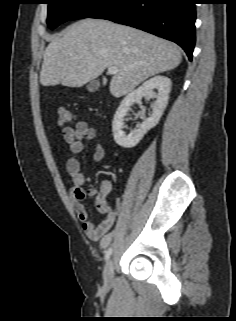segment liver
Here are the masks:
<instances>
[{
	"mask_svg": "<svg viewBox=\"0 0 236 321\" xmlns=\"http://www.w3.org/2000/svg\"><path fill=\"white\" fill-rule=\"evenodd\" d=\"M179 48L139 29L102 19H83L51 37L40 73L43 86L82 87L116 66L110 92L124 96L145 79L176 68ZM107 78L103 77V85Z\"/></svg>",
	"mask_w": 236,
	"mask_h": 321,
	"instance_id": "obj_1",
	"label": "liver"
}]
</instances>
